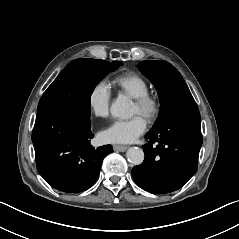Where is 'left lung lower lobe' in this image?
Returning <instances> with one entry per match:
<instances>
[{
    "mask_svg": "<svg viewBox=\"0 0 239 239\" xmlns=\"http://www.w3.org/2000/svg\"><path fill=\"white\" fill-rule=\"evenodd\" d=\"M145 159L132 169L136 184L153 194L181 188L195 174L202 145L198 107L171 114L146 136ZM156 145L153 146V144Z\"/></svg>",
    "mask_w": 239,
    "mask_h": 239,
    "instance_id": "left-lung-lower-lobe-1",
    "label": "left lung lower lobe"
}]
</instances>
